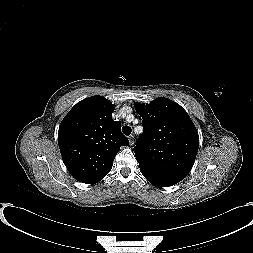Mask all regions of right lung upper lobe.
I'll list each match as a JSON object with an SVG mask.
<instances>
[{"mask_svg": "<svg viewBox=\"0 0 253 253\" xmlns=\"http://www.w3.org/2000/svg\"><path fill=\"white\" fill-rule=\"evenodd\" d=\"M114 108L109 100L92 96L78 102L59 126L63 162L80 182L101 181L112 169L120 147L129 145L121 123L112 119Z\"/></svg>", "mask_w": 253, "mask_h": 253, "instance_id": "1", "label": "right lung upper lobe"}]
</instances>
